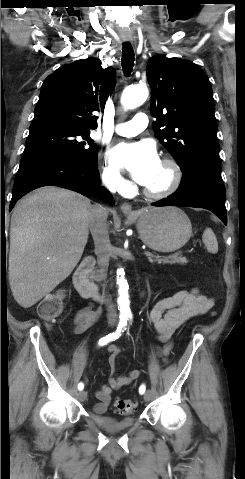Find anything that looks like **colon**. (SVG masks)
Instances as JSON below:
<instances>
[{
    "instance_id": "5ec220e1",
    "label": "colon",
    "mask_w": 245,
    "mask_h": 479,
    "mask_svg": "<svg viewBox=\"0 0 245 479\" xmlns=\"http://www.w3.org/2000/svg\"><path fill=\"white\" fill-rule=\"evenodd\" d=\"M65 305V293L59 290L45 296L38 306L40 317L48 323L54 322L62 313ZM136 403L131 400L118 398L114 401V408L119 414L135 412Z\"/></svg>"
}]
</instances>
